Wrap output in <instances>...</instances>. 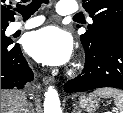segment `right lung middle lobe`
<instances>
[{
    "label": "right lung middle lobe",
    "mask_w": 123,
    "mask_h": 113,
    "mask_svg": "<svg viewBox=\"0 0 123 113\" xmlns=\"http://www.w3.org/2000/svg\"><path fill=\"white\" fill-rule=\"evenodd\" d=\"M6 28H1V45H10L12 44L11 38L5 36Z\"/></svg>",
    "instance_id": "dd1d6c3e"
}]
</instances>
